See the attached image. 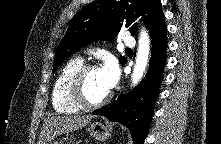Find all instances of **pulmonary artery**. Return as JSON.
I'll return each instance as SVG.
<instances>
[{"label": "pulmonary artery", "mask_w": 221, "mask_h": 144, "mask_svg": "<svg viewBox=\"0 0 221 144\" xmlns=\"http://www.w3.org/2000/svg\"><path fill=\"white\" fill-rule=\"evenodd\" d=\"M122 43L127 47H134L135 39L130 34H125L122 38Z\"/></svg>", "instance_id": "e3ab8cb5"}]
</instances>
